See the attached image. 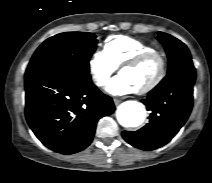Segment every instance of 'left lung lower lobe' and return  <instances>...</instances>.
Instances as JSON below:
<instances>
[{"label": "left lung lower lobe", "mask_w": 212, "mask_h": 183, "mask_svg": "<svg viewBox=\"0 0 212 183\" xmlns=\"http://www.w3.org/2000/svg\"><path fill=\"white\" fill-rule=\"evenodd\" d=\"M195 78L192 60L169 70L166 77L142 100L151 111L149 123L135 132L123 131V138L132 146L147 151L167 144L190 115Z\"/></svg>", "instance_id": "obj_1"}]
</instances>
